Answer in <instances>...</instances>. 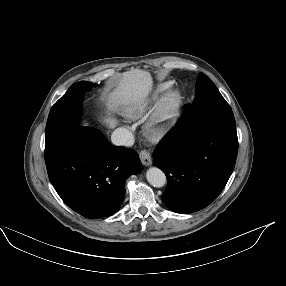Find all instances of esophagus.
<instances>
[{"mask_svg": "<svg viewBox=\"0 0 286 286\" xmlns=\"http://www.w3.org/2000/svg\"><path fill=\"white\" fill-rule=\"evenodd\" d=\"M139 157L143 165L150 166L152 164V157L148 151H141Z\"/></svg>", "mask_w": 286, "mask_h": 286, "instance_id": "obj_1", "label": "esophagus"}]
</instances>
